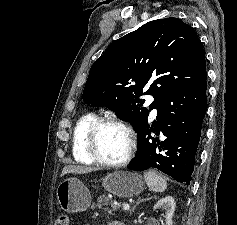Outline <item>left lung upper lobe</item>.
I'll list each match as a JSON object with an SVG mask.
<instances>
[{
	"instance_id": "left-lung-upper-lobe-1",
	"label": "left lung upper lobe",
	"mask_w": 237,
	"mask_h": 225,
	"mask_svg": "<svg viewBox=\"0 0 237 225\" xmlns=\"http://www.w3.org/2000/svg\"><path fill=\"white\" fill-rule=\"evenodd\" d=\"M205 54L196 32L177 18L150 21L115 41L91 66L83 101L107 106L137 132L154 101L206 79ZM147 91L143 93V89Z\"/></svg>"
}]
</instances>
